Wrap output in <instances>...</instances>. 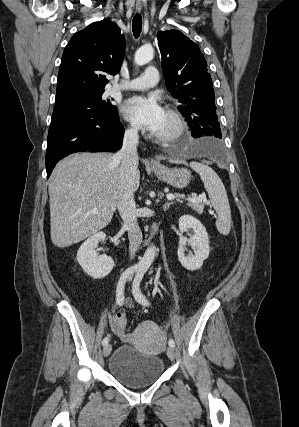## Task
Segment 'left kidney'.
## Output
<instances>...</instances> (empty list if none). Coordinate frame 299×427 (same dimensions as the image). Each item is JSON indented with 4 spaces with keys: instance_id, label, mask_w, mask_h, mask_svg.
Wrapping results in <instances>:
<instances>
[{
    "instance_id": "5707ae66",
    "label": "left kidney",
    "mask_w": 299,
    "mask_h": 427,
    "mask_svg": "<svg viewBox=\"0 0 299 427\" xmlns=\"http://www.w3.org/2000/svg\"><path fill=\"white\" fill-rule=\"evenodd\" d=\"M179 231L180 238L177 254L180 263L184 268L191 271L201 268L210 253L206 228L197 218L191 215H183L179 219ZM188 231H192L193 234H188L189 238L187 239L182 236V233ZM187 244L195 249L194 255L192 253L185 255V246Z\"/></svg>"
}]
</instances>
